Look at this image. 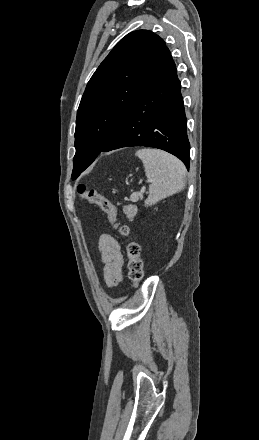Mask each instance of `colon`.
I'll list each match as a JSON object with an SVG mask.
<instances>
[{"mask_svg": "<svg viewBox=\"0 0 259 440\" xmlns=\"http://www.w3.org/2000/svg\"><path fill=\"white\" fill-rule=\"evenodd\" d=\"M78 193L85 201L98 206L106 215L113 227L123 236L128 237L129 228L117 222V210L115 206L95 189H88L84 184L78 186ZM128 257V275L130 280L137 285L143 278V260L140 245L130 240L126 247Z\"/></svg>", "mask_w": 259, "mask_h": 440, "instance_id": "1", "label": "colon"}]
</instances>
